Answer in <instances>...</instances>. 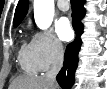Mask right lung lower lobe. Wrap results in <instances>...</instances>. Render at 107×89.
Returning <instances> with one entry per match:
<instances>
[{
  "mask_svg": "<svg viewBox=\"0 0 107 89\" xmlns=\"http://www.w3.org/2000/svg\"><path fill=\"white\" fill-rule=\"evenodd\" d=\"M83 3V0H71L72 26L76 32V38L72 43L67 45L63 67L56 77L62 89H70L75 81L74 75L78 65V52L82 43L80 36L83 32V26L80 20L85 14Z\"/></svg>",
  "mask_w": 107,
  "mask_h": 89,
  "instance_id": "obj_1",
  "label": "right lung lower lobe"
}]
</instances>
